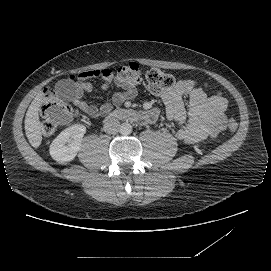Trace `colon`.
Wrapping results in <instances>:
<instances>
[{
  "label": "colon",
  "instance_id": "obj_1",
  "mask_svg": "<svg viewBox=\"0 0 271 271\" xmlns=\"http://www.w3.org/2000/svg\"><path fill=\"white\" fill-rule=\"evenodd\" d=\"M118 77L132 85L139 83L140 70L136 63H129L118 70ZM174 85V78L171 74L157 68H151L146 72V87L153 95H158ZM76 111L67 103L58 98L51 88H46L41 97L40 124L43 134L50 135L62 125L69 123ZM228 129L235 132L237 123L229 119Z\"/></svg>",
  "mask_w": 271,
  "mask_h": 271
}]
</instances>
